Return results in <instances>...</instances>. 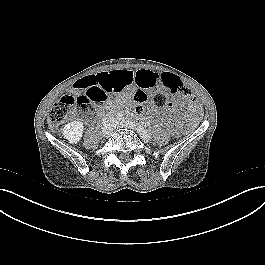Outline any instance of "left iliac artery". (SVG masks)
I'll list each match as a JSON object with an SVG mask.
<instances>
[{
    "label": "left iliac artery",
    "mask_w": 265,
    "mask_h": 265,
    "mask_svg": "<svg viewBox=\"0 0 265 265\" xmlns=\"http://www.w3.org/2000/svg\"><path fill=\"white\" fill-rule=\"evenodd\" d=\"M138 132H139L140 136L143 137V138H146L149 135L147 133V131L140 125L138 127Z\"/></svg>",
    "instance_id": "1"
}]
</instances>
